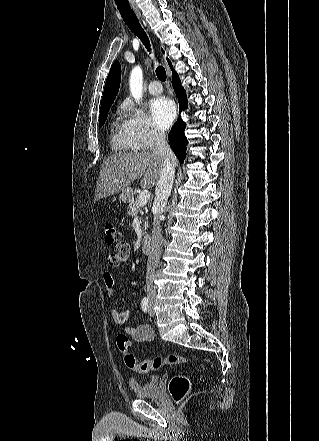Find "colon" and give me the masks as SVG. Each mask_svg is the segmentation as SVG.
<instances>
[{
	"instance_id": "1",
	"label": "colon",
	"mask_w": 319,
	"mask_h": 441,
	"mask_svg": "<svg viewBox=\"0 0 319 441\" xmlns=\"http://www.w3.org/2000/svg\"><path fill=\"white\" fill-rule=\"evenodd\" d=\"M105 242L109 246L116 245L120 242L121 235L116 226L112 223H107L104 227ZM116 344L121 353L124 355V362L126 366L138 373H149L163 367L164 365L187 364L189 359L178 355L169 354L166 356H157L152 359L138 360L136 356L130 352L131 342L129 338L120 333L116 337ZM168 389L170 395L176 402H181L188 395L190 391V381L184 375L173 376L169 382Z\"/></svg>"
}]
</instances>
